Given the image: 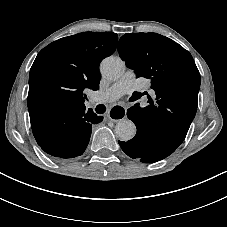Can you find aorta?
Wrapping results in <instances>:
<instances>
[{
    "mask_svg": "<svg viewBox=\"0 0 227 227\" xmlns=\"http://www.w3.org/2000/svg\"><path fill=\"white\" fill-rule=\"evenodd\" d=\"M102 76L109 80L119 79L125 71V63L116 56L106 57L100 64ZM115 133L121 141L131 140L136 134V126L130 120H120L115 126Z\"/></svg>",
    "mask_w": 227,
    "mask_h": 227,
    "instance_id": "obj_1",
    "label": "aorta"
}]
</instances>
